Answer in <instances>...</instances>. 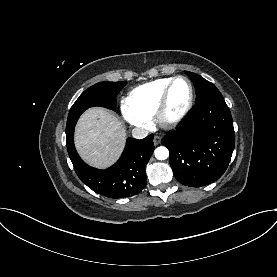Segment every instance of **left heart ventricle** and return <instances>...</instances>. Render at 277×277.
<instances>
[{
    "instance_id": "left-heart-ventricle-1",
    "label": "left heart ventricle",
    "mask_w": 277,
    "mask_h": 277,
    "mask_svg": "<svg viewBox=\"0 0 277 277\" xmlns=\"http://www.w3.org/2000/svg\"><path fill=\"white\" fill-rule=\"evenodd\" d=\"M189 98V86L184 80H179L172 88L167 108V116H177L185 107Z\"/></svg>"
}]
</instances>
